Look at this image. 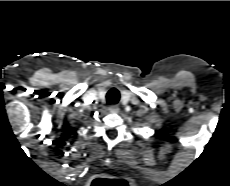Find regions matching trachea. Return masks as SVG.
Returning <instances> with one entry per match:
<instances>
[{
    "label": "trachea",
    "instance_id": "3493384b",
    "mask_svg": "<svg viewBox=\"0 0 230 186\" xmlns=\"http://www.w3.org/2000/svg\"><path fill=\"white\" fill-rule=\"evenodd\" d=\"M120 99V93L116 88H111L106 94L108 104H116Z\"/></svg>",
    "mask_w": 230,
    "mask_h": 186
}]
</instances>
